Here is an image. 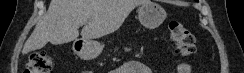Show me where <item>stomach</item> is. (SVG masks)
Here are the masks:
<instances>
[{"mask_svg": "<svg viewBox=\"0 0 244 73\" xmlns=\"http://www.w3.org/2000/svg\"><path fill=\"white\" fill-rule=\"evenodd\" d=\"M138 17L143 26L149 29L158 27L166 18L165 10L157 3L146 1L138 9ZM104 45L97 41H86L81 47L73 44L76 54L84 60H90L98 57Z\"/></svg>", "mask_w": 244, "mask_h": 73, "instance_id": "1", "label": "stomach"}]
</instances>
